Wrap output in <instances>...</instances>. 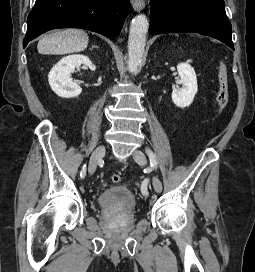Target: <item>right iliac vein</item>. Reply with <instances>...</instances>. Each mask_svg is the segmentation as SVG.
Wrapping results in <instances>:
<instances>
[{
	"label": "right iliac vein",
	"mask_w": 255,
	"mask_h": 272,
	"mask_svg": "<svg viewBox=\"0 0 255 272\" xmlns=\"http://www.w3.org/2000/svg\"><path fill=\"white\" fill-rule=\"evenodd\" d=\"M106 151V147L104 145H101L97 147L94 152L92 153L89 161V173L92 175L96 168L98 162L103 158Z\"/></svg>",
	"instance_id": "1"
}]
</instances>
